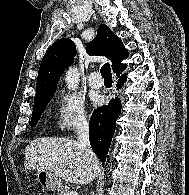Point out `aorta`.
I'll list each match as a JSON object with an SVG mask.
<instances>
[{"label":"aorta","mask_w":189,"mask_h":195,"mask_svg":"<svg viewBox=\"0 0 189 195\" xmlns=\"http://www.w3.org/2000/svg\"><path fill=\"white\" fill-rule=\"evenodd\" d=\"M80 73L77 68L71 67L66 73L65 81L69 89L75 90L78 88Z\"/></svg>","instance_id":"762f6f07"}]
</instances>
